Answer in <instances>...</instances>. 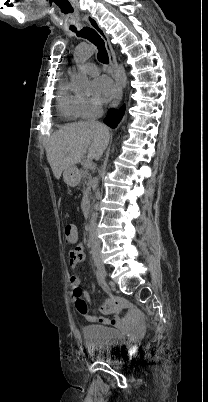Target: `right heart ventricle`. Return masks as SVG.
I'll return each instance as SVG.
<instances>
[{
	"label": "right heart ventricle",
	"instance_id": "1",
	"mask_svg": "<svg viewBox=\"0 0 208 402\" xmlns=\"http://www.w3.org/2000/svg\"><path fill=\"white\" fill-rule=\"evenodd\" d=\"M79 98L80 94L71 92L67 82L63 81L60 83L57 95V108L70 125L83 123L84 119L81 115Z\"/></svg>",
	"mask_w": 208,
	"mask_h": 402
}]
</instances>
